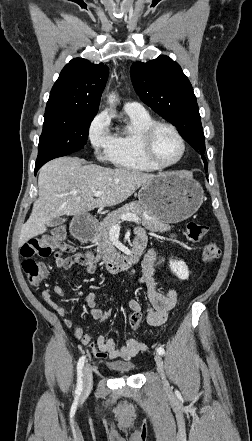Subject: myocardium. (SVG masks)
<instances>
[{"instance_id": "f54148a6", "label": "myocardium", "mask_w": 252, "mask_h": 441, "mask_svg": "<svg viewBox=\"0 0 252 441\" xmlns=\"http://www.w3.org/2000/svg\"><path fill=\"white\" fill-rule=\"evenodd\" d=\"M161 128H166L170 130L177 137V139L181 144V153L179 157H177L175 160L169 163L160 162L154 154V148H153L154 137L157 131ZM140 143L145 158L158 169H165L178 164L184 158L187 150L186 141L184 137L181 135L179 130L174 125L168 122L155 121L154 123L146 127L141 134Z\"/></svg>"}]
</instances>
